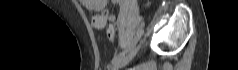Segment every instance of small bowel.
<instances>
[{
  "label": "small bowel",
  "instance_id": "small-bowel-1",
  "mask_svg": "<svg viewBox=\"0 0 238 70\" xmlns=\"http://www.w3.org/2000/svg\"><path fill=\"white\" fill-rule=\"evenodd\" d=\"M119 0H113V3H119ZM106 0H81V4L91 12H94L91 18V23L95 28H104L108 21L116 20L115 15L104 12Z\"/></svg>",
  "mask_w": 238,
  "mask_h": 70
}]
</instances>
